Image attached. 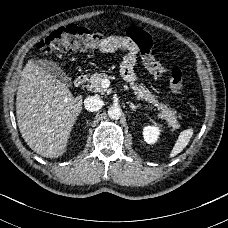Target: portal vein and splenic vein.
<instances>
[{"mask_svg":"<svg viewBox=\"0 0 228 228\" xmlns=\"http://www.w3.org/2000/svg\"><path fill=\"white\" fill-rule=\"evenodd\" d=\"M109 84H110V81L108 79L102 80L101 85H102L103 88L108 87Z\"/></svg>","mask_w":228,"mask_h":228,"instance_id":"obj_1","label":"portal vein and splenic vein"}]
</instances>
